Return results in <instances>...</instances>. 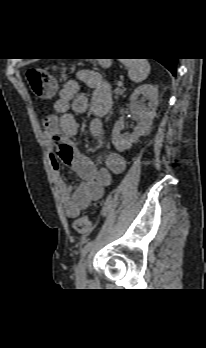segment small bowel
Segmentation results:
<instances>
[{
  "mask_svg": "<svg viewBox=\"0 0 206 348\" xmlns=\"http://www.w3.org/2000/svg\"><path fill=\"white\" fill-rule=\"evenodd\" d=\"M81 84L92 90L91 97L80 92ZM112 105L109 84L102 76L91 70H81L74 79L63 84L54 102V113L44 120V136L49 150L51 166L56 176L57 187L68 218H75L92 202L98 201L104 189L111 185L112 176L126 167L125 158L117 152L105 155L104 167L96 168L85 156L78 153L70 141L79 130V124L71 111L85 113L91 110L94 118L89 124L92 136L103 139V117ZM60 163L69 166L83 182L73 191L60 175Z\"/></svg>",
  "mask_w": 206,
  "mask_h": 348,
  "instance_id": "1",
  "label": "small bowel"
}]
</instances>
